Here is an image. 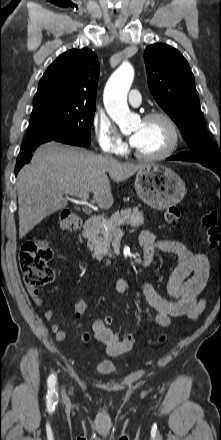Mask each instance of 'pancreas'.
<instances>
[{"label":"pancreas","mask_w":221,"mask_h":440,"mask_svg":"<svg viewBox=\"0 0 221 440\" xmlns=\"http://www.w3.org/2000/svg\"><path fill=\"white\" fill-rule=\"evenodd\" d=\"M144 223L143 212L138 207L133 209L126 208L115 212L109 219L103 221L96 227L95 231L89 236L90 247H101L104 254L110 255V244L113 241V234L121 225L129 224L137 228Z\"/></svg>","instance_id":"cf45deb5"}]
</instances>
